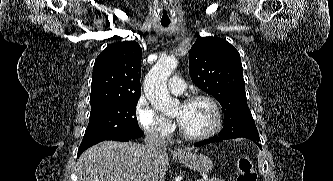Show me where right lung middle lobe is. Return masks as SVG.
<instances>
[{
	"mask_svg": "<svg viewBox=\"0 0 333 181\" xmlns=\"http://www.w3.org/2000/svg\"><path fill=\"white\" fill-rule=\"evenodd\" d=\"M138 99L121 100L92 107L81 145L101 140L139 138L144 135L136 119Z\"/></svg>",
	"mask_w": 333,
	"mask_h": 181,
	"instance_id": "right-lung-middle-lobe-1",
	"label": "right lung middle lobe"
}]
</instances>
